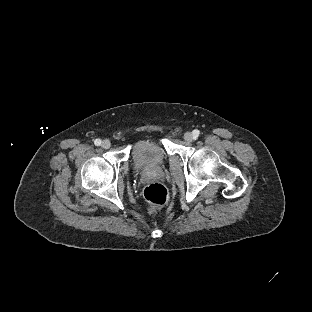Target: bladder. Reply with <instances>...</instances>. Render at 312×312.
Masks as SVG:
<instances>
[{
  "label": "bladder",
  "mask_w": 312,
  "mask_h": 312,
  "mask_svg": "<svg viewBox=\"0 0 312 312\" xmlns=\"http://www.w3.org/2000/svg\"><path fill=\"white\" fill-rule=\"evenodd\" d=\"M136 150L135 159L132 161L134 171L155 169L159 166H165L166 154L164 147L156 142L138 140L133 143Z\"/></svg>",
  "instance_id": "1"
}]
</instances>
